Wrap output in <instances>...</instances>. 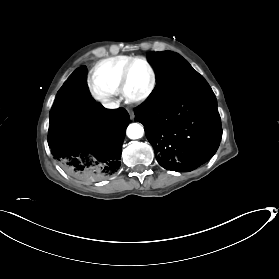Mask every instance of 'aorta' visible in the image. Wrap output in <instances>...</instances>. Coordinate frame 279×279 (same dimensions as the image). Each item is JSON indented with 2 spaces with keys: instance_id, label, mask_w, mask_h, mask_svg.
<instances>
[{
  "instance_id": "1",
  "label": "aorta",
  "mask_w": 279,
  "mask_h": 279,
  "mask_svg": "<svg viewBox=\"0 0 279 279\" xmlns=\"http://www.w3.org/2000/svg\"><path fill=\"white\" fill-rule=\"evenodd\" d=\"M126 134L130 139H139L144 134L143 127L138 123H132L127 127Z\"/></svg>"
}]
</instances>
